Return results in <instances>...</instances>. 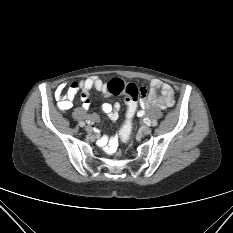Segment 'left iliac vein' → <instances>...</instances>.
<instances>
[{"label":"left iliac vein","instance_id":"4c4485c4","mask_svg":"<svg viewBox=\"0 0 233 233\" xmlns=\"http://www.w3.org/2000/svg\"><path fill=\"white\" fill-rule=\"evenodd\" d=\"M151 132H152V129H151V127H149V126H146V127L143 129V134H145V135H149V134H151Z\"/></svg>","mask_w":233,"mask_h":233}]
</instances>
